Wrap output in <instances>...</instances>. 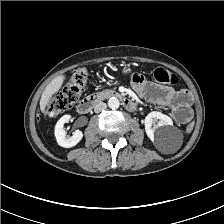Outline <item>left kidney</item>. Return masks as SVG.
I'll list each match as a JSON object with an SVG mask.
<instances>
[{"label": "left kidney", "instance_id": "1", "mask_svg": "<svg viewBox=\"0 0 224 224\" xmlns=\"http://www.w3.org/2000/svg\"><path fill=\"white\" fill-rule=\"evenodd\" d=\"M172 124V119L169 116L158 111L150 112L144 120L145 132L149 139L161 145L169 142L167 130L164 127Z\"/></svg>", "mask_w": 224, "mask_h": 224}]
</instances>
